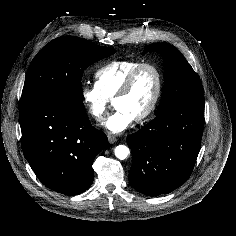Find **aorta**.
I'll list each match as a JSON object with an SVG mask.
<instances>
[{
  "instance_id": "obj_1",
  "label": "aorta",
  "mask_w": 236,
  "mask_h": 236,
  "mask_svg": "<svg viewBox=\"0 0 236 236\" xmlns=\"http://www.w3.org/2000/svg\"><path fill=\"white\" fill-rule=\"evenodd\" d=\"M114 152L115 156L120 160L126 159L130 153L129 148L125 145H118Z\"/></svg>"
}]
</instances>
